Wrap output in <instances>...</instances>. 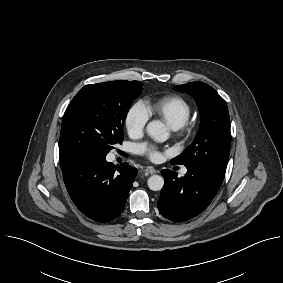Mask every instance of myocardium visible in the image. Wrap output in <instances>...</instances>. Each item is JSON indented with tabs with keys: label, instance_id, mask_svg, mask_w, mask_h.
<instances>
[{
	"label": "myocardium",
	"instance_id": "myocardium-1",
	"mask_svg": "<svg viewBox=\"0 0 283 283\" xmlns=\"http://www.w3.org/2000/svg\"><path fill=\"white\" fill-rule=\"evenodd\" d=\"M179 135L182 137H189L193 133V126L185 122L180 128Z\"/></svg>",
	"mask_w": 283,
	"mask_h": 283
}]
</instances>
